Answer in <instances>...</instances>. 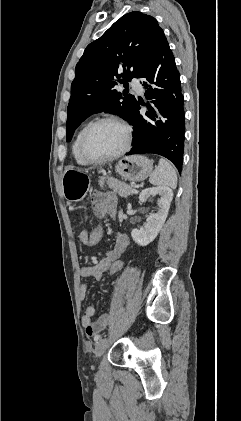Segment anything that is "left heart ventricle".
Segmentation results:
<instances>
[{"label":"left heart ventricle","mask_w":241,"mask_h":421,"mask_svg":"<svg viewBox=\"0 0 241 421\" xmlns=\"http://www.w3.org/2000/svg\"><path fill=\"white\" fill-rule=\"evenodd\" d=\"M125 139L124 130L114 123H103L95 127L86 140L88 154L95 158L108 156L118 151Z\"/></svg>","instance_id":"obj_1"}]
</instances>
